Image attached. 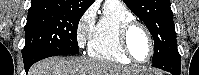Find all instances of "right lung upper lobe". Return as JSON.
I'll use <instances>...</instances> for the list:
<instances>
[{
  "label": "right lung upper lobe",
  "instance_id": "cb5924a9",
  "mask_svg": "<svg viewBox=\"0 0 199 75\" xmlns=\"http://www.w3.org/2000/svg\"><path fill=\"white\" fill-rule=\"evenodd\" d=\"M94 1L95 0H31V7L45 8L57 6L85 12Z\"/></svg>",
  "mask_w": 199,
  "mask_h": 75
}]
</instances>
